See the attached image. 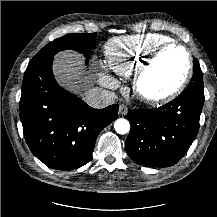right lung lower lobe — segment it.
Returning <instances> with one entry per match:
<instances>
[{
	"label": "right lung lower lobe",
	"mask_w": 217,
	"mask_h": 217,
	"mask_svg": "<svg viewBox=\"0 0 217 217\" xmlns=\"http://www.w3.org/2000/svg\"><path fill=\"white\" fill-rule=\"evenodd\" d=\"M53 57L26 69L20 119L31 152L45 165L64 171L91 158L98 134L117 118L118 105L94 109L55 81Z\"/></svg>",
	"instance_id": "1"
}]
</instances>
